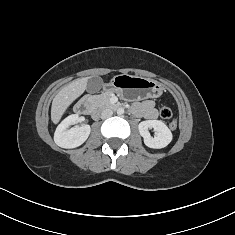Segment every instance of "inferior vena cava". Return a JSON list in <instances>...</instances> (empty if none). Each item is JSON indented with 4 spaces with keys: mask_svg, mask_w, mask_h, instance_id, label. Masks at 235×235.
Returning <instances> with one entry per match:
<instances>
[{
    "mask_svg": "<svg viewBox=\"0 0 235 235\" xmlns=\"http://www.w3.org/2000/svg\"><path fill=\"white\" fill-rule=\"evenodd\" d=\"M113 115V111L109 108L107 109H104L102 112H101V118L102 119H106V118H109Z\"/></svg>",
    "mask_w": 235,
    "mask_h": 235,
    "instance_id": "602c4592",
    "label": "inferior vena cava"
}]
</instances>
